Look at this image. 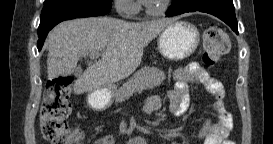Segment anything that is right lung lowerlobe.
Listing matches in <instances>:
<instances>
[{"label": "right lung lower lobe", "instance_id": "1", "mask_svg": "<svg viewBox=\"0 0 273 144\" xmlns=\"http://www.w3.org/2000/svg\"><path fill=\"white\" fill-rule=\"evenodd\" d=\"M110 10L111 0H54L44 5L38 28V50H41L48 32L61 21L102 16Z\"/></svg>", "mask_w": 273, "mask_h": 144}]
</instances>
